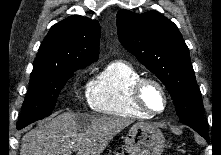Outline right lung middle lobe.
Here are the masks:
<instances>
[{"instance_id":"1","label":"right lung middle lobe","mask_w":221,"mask_h":155,"mask_svg":"<svg viewBox=\"0 0 221 155\" xmlns=\"http://www.w3.org/2000/svg\"><path fill=\"white\" fill-rule=\"evenodd\" d=\"M87 65L89 64L77 66L34 65L17 129L51 115L58 93L65 86L67 80L73 75L74 71Z\"/></svg>"}]
</instances>
